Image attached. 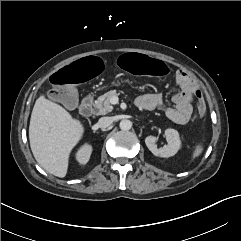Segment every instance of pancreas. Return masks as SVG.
<instances>
[{
	"label": "pancreas",
	"mask_w": 241,
	"mask_h": 241,
	"mask_svg": "<svg viewBox=\"0 0 241 241\" xmlns=\"http://www.w3.org/2000/svg\"><path fill=\"white\" fill-rule=\"evenodd\" d=\"M119 94L120 92L117 90H110L99 96L94 103V108L96 109L97 113L103 115L111 112L113 110V106L111 105L110 99L113 96H118Z\"/></svg>",
	"instance_id": "pancreas-1"
}]
</instances>
